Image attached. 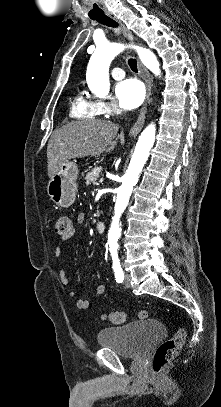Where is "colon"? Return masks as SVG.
Wrapping results in <instances>:
<instances>
[{"mask_svg":"<svg viewBox=\"0 0 221 407\" xmlns=\"http://www.w3.org/2000/svg\"><path fill=\"white\" fill-rule=\"evenodd\" d=\"M71 231V221L66 216H61L56 222V233L59 236H67ZM139 316L147 318L148 313L141 311ZM104 320L114 324H123L126 321V314L124 311L111 310L102 315ZM185 330L179 328L174 335L163 341L157 348L154 356L153 370L154 373H162L170 364L171 360L178 354L185 340Z\"/></svg>","mask_w":221,"mask_h":407,"instance_id":"obj_1","label":"colon"}]
</instances>
